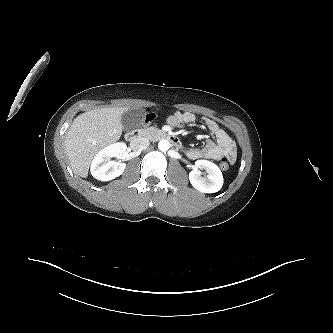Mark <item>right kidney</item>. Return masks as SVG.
Here are the masks:
<instances>
[{"label": "right kidney", "mask_w": 333, "mask_h": 333, "mask_svg": "<svg viewBox=\"0 0 333 333\" xmlns=\"http://www.w3.org/2000/svg\"><path fill=\"white\" fill-rule=\"evenodd\" d=\"M126 151V144L117 142L102 149L91 163L92 176L100 181H110L120 176L126 167L121 161H111L112 157H119Z\"/></svg>", "instance_id": "obj_1"}]
</instances>
